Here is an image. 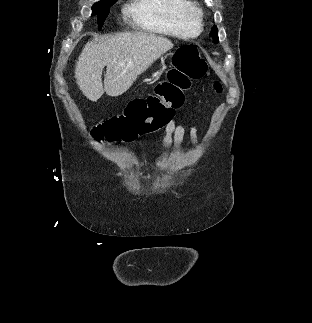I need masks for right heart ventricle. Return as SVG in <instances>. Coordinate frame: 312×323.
Masks as SVG:
<instances>
[{"instance_id": "right-heart-ventricle-1", "label": "right heart ventricle", "mask_w": 312, "mask_h": 323, "mask_svg": "<svg viewBox=\"0 0 312 323\" xmlns=\"http://www.w3.org/2000/svg\"><path fill=\"white\" fill-rule=\"evenodd\" d=\"M185 1L132 0L125 20H134L138 29L152 33H198L199 22Z\"/></svg>"}]
</instances>
